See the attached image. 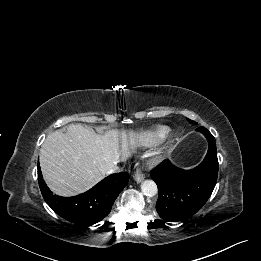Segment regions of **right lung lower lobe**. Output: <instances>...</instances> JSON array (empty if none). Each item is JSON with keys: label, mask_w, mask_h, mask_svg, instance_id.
Listing matches in <instances>:
<instances>
[{"label": "right lung lower lobe", "mask_w": 261, "mask_h": 261, "mask_svg": "<svg viewBox=\"0 0 261 261\" xmlns=\"http://www.w3.org/2000/svg\"><path fill=\"white\" fill-rule=\"evenodd\" d=\"M129 181L127 172L112 174L83 194L74 197L53 195L45 184L38 165V182L46 203L64 219L89 226L101 221Z\"/></svg>", "instance_id": "right-lung-lower-lobe-1"}]
</instances>
